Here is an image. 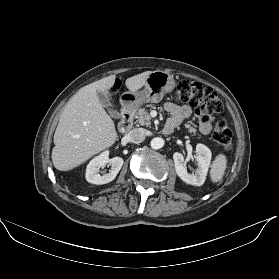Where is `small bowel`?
<instances>
[{"instance_id":"1","label":"small bowel","mask_w":279,"mask_h":279,"mask_svg":"<svg viewBox=\"0 0 279 279\" xmlns=\"http://www.w3.org/2000/svg\"><path fill=\"white\" fill-rule=\"evenodd\" d=\"M164 109L170 114L168 121L166 122L165 128L173 130L182 120L192 116V110L187 105H176L174 103H166ZM197 118V117H195ZM211 122L206 120H199V130L202 134H209L211 131Z\"/></svg>"}]
</instances>
